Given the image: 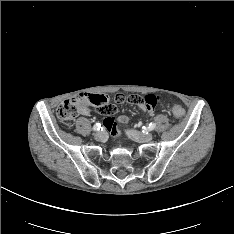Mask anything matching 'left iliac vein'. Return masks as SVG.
I'll list each match as a JSON object with an SVG mask.
<instances>
[{
    "instance_id": "1",
    "label": "left iliac vein",
    "mask_w": 234,
    "mask_h": 234,
    "mask_svg": "<svg viewBox=\"0 0 234 234\" xmlns=\"http://www.w3.org/2000/svg\"><path fill=\"white\" fill-rule=\"evenodd\" d=\"M126 133L132 140L139 143L149 142L153 138L151 133H142L135 130H127Z\"/></svg>"
}]
</instances>
